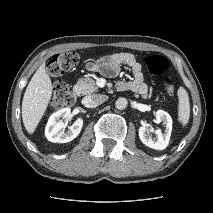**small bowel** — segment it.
<instances>
[{"label": "small bowel", "instance_id": "c3829d8e", "mask_svg": "<svg viewBox=\"0 0 213 213\" xmlns=\"http://www.w3.org/2000/svg\"><path fill=\"white\" fill-rule=\"evenodd\" d=\"M122 65H127L133 72V79L130 81H120L117 88L122 91H132L141 96H146L148 86L145 82L141 64L130 53H116L102 58L97 62H89L86 68L90 71H98L108 77L116 76Z\"/></svg>", "mask_w": 213, "mask_h": 213}]
</instances>
